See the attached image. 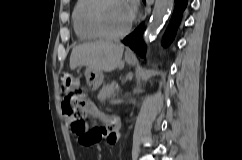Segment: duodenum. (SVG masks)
Masks as SVG:
<instances>
[{
	"mask_svg": "<svg viewBox=\"0 0 242 160\" xmlns=\"http://www.w3.org/2000/svg\"><path fill=\"white\" fill-rule=\"evenodd\" d=\"M104 122L107 126L113 125V119L112 118H104Z\"/></svg>",
	"mask_w": 242,
	"mask_h": 160,
	"instance_id": "obj_1",
	"label": "duodenum"
}]
</instances>
